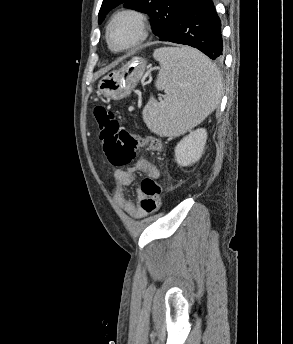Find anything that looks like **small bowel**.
<instances>
[{"label":"small bowel","instance_id":"c3829d8e","mask_svg":"<svg viewBox=\"0 0 293 344\" xmlns=\"http://www.w3.org/2000/svg\"><path fill=\"white\" fill-rule=\"evenodd\" d=\"M141 172L152 178L158 179L160 171L158 167L151 161L140 158L133 166L126 169L116 170L114 176L117 179L120 186L123 188L130 186L135 180V173ZM144 198L142 191L137 190V199L131 200L124 195H119V206L130 216L134 218H143L146 214L141 209V201Z\"/></svg>","mask_w":293,"mask_h":344}]
</instances>
